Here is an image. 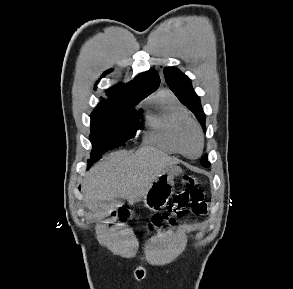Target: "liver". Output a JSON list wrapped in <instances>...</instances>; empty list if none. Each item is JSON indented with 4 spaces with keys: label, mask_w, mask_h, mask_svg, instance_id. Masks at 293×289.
<instances>
[{
    "label": "liver",
    "mask_w": 293,
    "mask_h": 289,
    "mask_svg": "<svg viewBox=\"0 0 293 289\" xmlns=\"http://www.w3.org/2000/svg\"><path fill=\"white\" fill-rule=\"evenodd\" d=\"M178 162L153 146H144L134 154L112 152L95 164L85 178L82 188L85 206L95 212L104 202L117 198L135 203L144 198L166 168ZM109 212L108 208L106 215Z\"/></svg>",
    "instance_id": "liver-1"
}]
</instances>
